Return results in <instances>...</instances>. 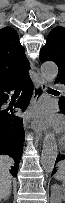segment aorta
Here are the masks:
<instances>
[{
    "label": "aorta",
    "mask_w": 65,
    "mask_h": 203,
    "mask_svg": "<svg viewBox=\"0 0 65 203\" xmlns=\"http://www.w3.org/2000/svg\"><path fill=\"white\" fill-rule=\"evenodd\" d=\"M41 74L43 79L50 83L53 82L58 74L57 65L52 62H44L41 65ZM58 155V147L54 133H46L43 140V148L41 154V165L47 173H51L55 166V161Z\"/></svg>",
    "instance_id": "1"
}]
</instances>
